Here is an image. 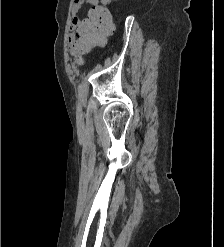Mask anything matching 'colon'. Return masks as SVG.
<instances>
[{
  "label": "colon",
  "instance_id": "obj_1",
  "mask_svg": "<svg viewBox=\"0 0 224 247\" xmlns=\"http://www.w3.org/2000/svg\"><path fill=\"white\" fill-rule=\"evenodd\" d=\"M112 30L111 11L105 5H97L90 9L88 17L80 28L78 38L85 50L102 42Z\"/></svg>",
  "mask_w": 224,
  "mask_h": 247
}]
</instances>
